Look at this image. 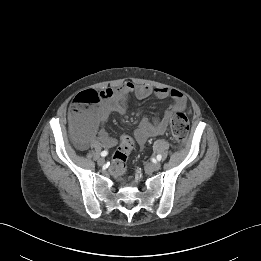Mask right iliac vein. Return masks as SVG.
<instances>
[{"instance_id":"63e3f726","label":"right iliac vein","mask_w":261,"mask_h":261,"mask_svg":"<svg viewBox=\"0 0 261 261\" xmlns=\"http://www.w3.org/2000/svg\"><path fill=\"white\" fill-rule=\"evenodd\" d=\"M97 163H98V165L102 166L105 163V159L104 158H98Z\"/></svg>"}]
</instances>
